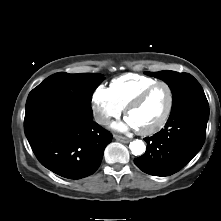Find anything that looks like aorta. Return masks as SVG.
I'll use <instances>...</instances> for the list:
<instances>
[{"label": "aorta", "mask_w": 221, "mask_h": 221, "mask_svg": "<svg viewBox=\"0 0 221 221\" xmlns=\"http://www.w3.org/2000/svg\"><path fill=\"white\" fill-rule=\"evenodd\" d=\"M129 148L135 156L142 155L146 150V146L142 140H134L130 142Z\"/></svg>", "instance_id": "obj_1"}]
</instances>
